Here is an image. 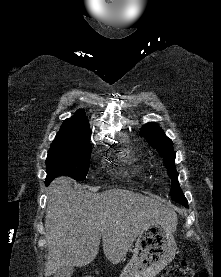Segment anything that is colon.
<instances>
[{
  "label": "colon",
  "mask_w": 221,
  "mask_h": 277,
  "mask_svg": "<svg viewBox=\"0 0 221 277\" xmlns=\"http://www.w3.org/2000/svg\"><path fill=\"white\" fill-rule=\"evenodd\" d=\"M162 277H193V270L187 262L183 261L166 268ZM200 277H206V275L201 274Z\"/></svg>",
  "instance_id": "5ec220e1"
}]
</instances>
